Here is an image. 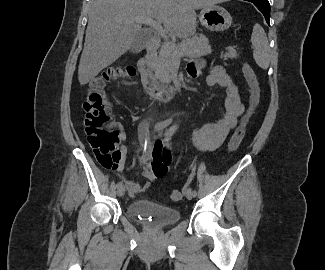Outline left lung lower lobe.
I'll use <instances>...</instances> for the list:
<instances>
[{
    "label": "left lung lower lobe",
    "instance_id": "0a47b994",
    "mask_svg": "<svg viewBox=\"0 0 325 270\" xmlns=\"http://www.w3.org/2000/svg\"><path fill=\"white\" fill-rule=\"evenodd\" d=\"M255 4V6L262 12L266 22L270 24V4L268 0H246Z\"/></svg>",
    "mask_w": 325,
    "mask_h": 270
}]
</instances>
